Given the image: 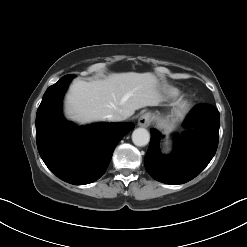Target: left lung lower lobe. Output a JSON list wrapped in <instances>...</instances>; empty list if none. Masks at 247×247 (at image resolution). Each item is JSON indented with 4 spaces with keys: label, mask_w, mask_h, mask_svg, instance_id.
Masks as SVG:
<instances>
[{
    "label": "left lung lower lobe",
    "mask_w": 247,
    "mask_h": 247,
    "mask_svg": "<svg viewBox=\"0 0 247 247\" xmlns=\"http://www.w3.org/2000/svg\"><path fill=\"white\" fill-rule=\"evenodd\" d=\"M185 123L195 128L189 131L169 156L159 152L161 135L151 130V140L144 165L155 180L166 184H183L195 178L211 161L219 140L220 116L209 104L195 106Z\"/></svg>",
    "instance_id": "obj_1"
}]
</instances>
